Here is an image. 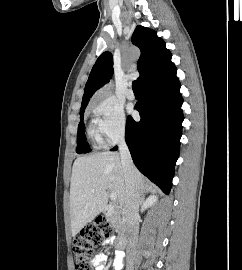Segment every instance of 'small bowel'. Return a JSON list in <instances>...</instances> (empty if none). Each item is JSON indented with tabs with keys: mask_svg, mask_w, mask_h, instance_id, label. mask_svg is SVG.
Here are the masks:
<instances>
[{
	"mask_svg": "<svg viewBox=\"0 0 242 270\" xmlns=\"http://www.w3.org/2000/svg\"><path fill=\"white\" fill-rule=\"evenodd\" d=\"M114 243L113 239H108L106 241V245H112ZM106 262V256L105 255H99L95 260H94V265L96 267V270H104V264ZM123 267V253L122 252H117L116 253V260L113 264V270H121Z\"/></svg>",
	"mask_w": 242,
	"mask_h": 270,
	"instance_id": "1",
	"label": "small bowel"
}]
</instances>
